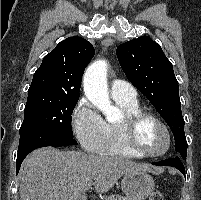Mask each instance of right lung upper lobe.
<instances>
[{
    "instance_id": "obj_1",
    "label": "right lung upper lobe",
    "mask_w": 201,
    "mask_h": 200,
    "mask_svg": "<svg viewBox=\"0 0 201 200\" xmlns=\"http://www.w3.org/2000/svg\"><path fill=\"white\" fill-rule=\"evenodd\" d=\"M94 54L87 40L81 37L65 39L43 58L28 93L46 92L79 98L84 69Z\"/></svg>"
}]
</instances>
